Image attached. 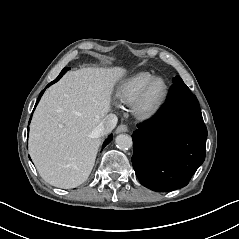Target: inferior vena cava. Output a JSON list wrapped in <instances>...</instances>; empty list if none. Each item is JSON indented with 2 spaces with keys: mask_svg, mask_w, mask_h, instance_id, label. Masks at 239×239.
Wrapping results in <instances>:
<instances>
[{
  "mask_svg": "<svg viewBox=\"0 0 239 239\" xmlns=\"http://www.w3.org/2000/svg\"><path fill=\"white\" fill-rule=\"evenodd\" d=\"M117 116L115 114H108L96 129L99 136H103L111 132L117 124Z\"/></svg>",
  "mask_w": 239,
  "mask_h": 239,
  "instance_id": "inferior-vena-cava-1",
  "label": "inferior vena cava"
}]
</instances>
